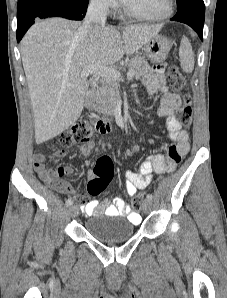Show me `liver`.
I'll use <instances>...</instances> for the list:
<instances>
[{
    "label": "liver",
    "instance_id": "6515ba94",
    "mask_svg": "<svg viewBox=\"0 0 227 298\" xmlns=\"http://www.w3.org/2000/svg\"><path fill=\"white\" fill-rule=\"evenodd\" d=\"M81 23L55 17L37 21L21 42V56L35 119L37 144L73 125L84 107L89 83L82 69L112 66L138 51L162 29L132 25L83 32Z\"/></svg>",
    "mask_w": 227,
    "mask_h": 298
}]
</instances>
